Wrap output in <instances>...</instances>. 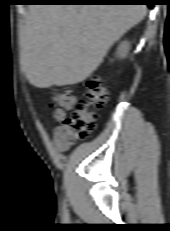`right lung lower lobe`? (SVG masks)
<instances>
[{
    "instance_id": "1",
    "label": "right lung lower lobe",
    "mask_w": 170,
    "mask_h": 231,
    "mask_svg": "<svg viewBox=\"0 0 170 231\" xmlns=\"http://www.w3.org/2000/svg\"><path fill=\"white\" fill-rule=\"evenodd\" d=\"M30 2L74 3V4L144 3L149 7H153L152 0H30Z\"/></svg>"
}]
</instances>
